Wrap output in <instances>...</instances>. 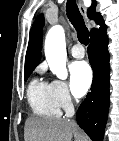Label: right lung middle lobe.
<instances>
[{
  "instance_id": "right-lung-middle-lobe-1",
  "label": "right lung middle lobe",
  "mask_w": 119,
  "mask_h": 141,
  "mask_svg": "<svg viewBox=\"0 0 119 141\" xmlns=\"http://www.w3.org/2000/svg\"><path fill=\"white\" fill-rule=\"evenodd\" d=\"M31 72H32V71L24 72L25 80H27V78L30 76Z\"/></svg>"
}]
</instances>
